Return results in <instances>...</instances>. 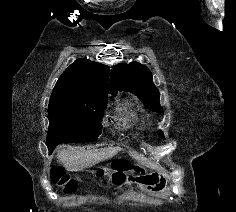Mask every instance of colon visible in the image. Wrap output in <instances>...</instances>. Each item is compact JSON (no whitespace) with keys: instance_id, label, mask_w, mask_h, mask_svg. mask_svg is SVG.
<instances>
[{"instance_id":"1","label":"colon","mask_w":236,"mask_h":212,"mask_svg":"<svg viewBox=\"0 0 236 212\" xmlns=\"http://www.w3.org/2000/svg\"><path fill=\"white\" fill-rule=\"evenodd\" d=\"M128 164L124 160L115 161L110 167L100 169L96 176L102 181L119 182L118 175H126ZM52 183L65 193H71L76 189V182L71 179L59 167L52 168L50 172Z\"/></svg>"}]
</instances>
